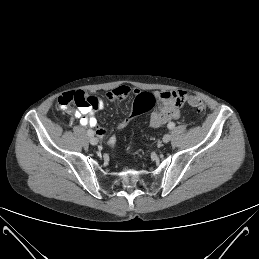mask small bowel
<instances>
[{
    "mask_svg": "<svg viewBox=\"0 0 259 259\" xmlns=\"http://www.w3.org/2000/svg\"><path fill=\"white\" fill-rule=\"evenodd\" d=\"M138 90L130 88L126 85H120L107 93L108 100H123L130 94H137ZM159 99V107L154 111L149 119V124L152 128H159L166 125L169 121L177 119L180 115L179 108L182 106L186 92L164 91L157 93ZM59 107L63 110L68 109L71 104L78 106L77 110L73 111L74 117L79 119L82 126L95 128L96 134L99 137H104L105 130L97 126V120L93 115L96 110H102L105 102L95 96H87L82 91L67 92L58 98Z\"/></svg>",
    "mask_w": 259,
    "mask_h": 259,
    "instance_id": "1",
    "label": "small bowel"
}]
</instances>
